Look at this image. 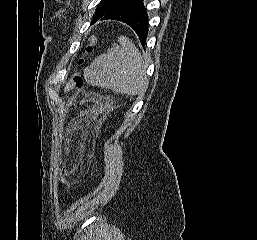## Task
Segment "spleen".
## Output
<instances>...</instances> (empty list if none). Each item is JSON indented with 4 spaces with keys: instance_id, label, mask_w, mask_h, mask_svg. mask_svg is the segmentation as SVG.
<instances>
[{
    "instance_id": "spleen-1",
    "label": "spleen",
    "mask_w": 257,
    "mask_h": 240,
    "mask_svg": "<svg viewBox=\"0 0 257 240\" xmlns=\"http://www.w3.org/2000/svg\"><path fill=\"white\" fill-rule=\"evenodd\" d=\"M120 45L97 57L85 79L91 85L110 89L115 93L135 95L146 90L148 78L147 65L142 54L126 36L118 38Z\"/></svg>"
}]
</instances>
